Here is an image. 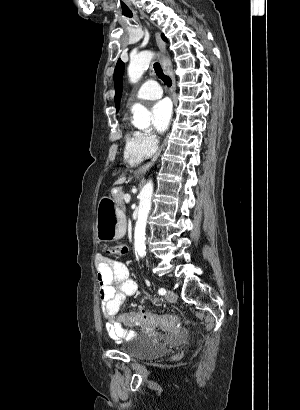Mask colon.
I'll use <instances>...</instances> for the list:
<instances>
[{"mask_svg":"<svg viewBox=\"0 0 300 410\" xmlns=\"http://www.w3.org/2000/svg\"><path fill=\"white\" fill-rule=\"evenodd\" d=\"M126 252L127 246L125 245H113L109 247L107 251L110 256L114 257L123 256ZM123 321L128 326L142 324L146 327H153L157 325L177 324L179 322V315L177 312H167L165 316L159 317L150 312L141 310L125 316Z\"/></svg>","mask_w":300,"mask_h":410,"instance_id":"1","label":"colon"}]
</instances>
